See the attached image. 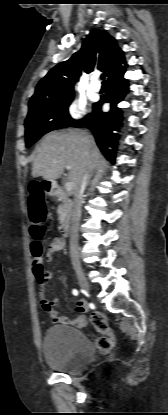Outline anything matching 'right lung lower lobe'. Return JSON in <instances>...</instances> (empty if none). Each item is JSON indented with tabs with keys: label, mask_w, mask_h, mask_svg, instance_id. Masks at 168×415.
Wrapping results in <instances>:
<instances>
[{
	"label": "right lung lower lobe",
	"mask_w": 168,
	"mask_h": 415,
	"mask_svg": "<svg viewBox=\"0 0 168 415\" xmlns=\"http://www.w3.org/2000/svg\"><path fill=\"white\" fill-rule=\"evenodd\" d=\"M124 72L125 69L108 78L109 90L99 102L94 104L93 112L71 125V127H88L94 134L101 152L112 162L115 159V150H110L108 147L115 146L117 136L113 131L119 130L122 121V111L117 104L123 100L128 91V82L123 77ZM104 103L110 104L109 112L101 111Z\"/></svg>",
	"instance_id": "obj_1"
}]
</instances>
